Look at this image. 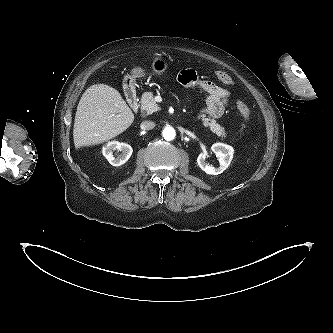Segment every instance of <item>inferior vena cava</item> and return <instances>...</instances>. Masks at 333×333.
I'll return each instance as SVG.
<instances>
[{
    "label": "inferior vena cava",
    "mask_w": 333,
    "mask_h": 333,
    "mask_svg": "<svg viewBox=\"0 0 333 333\" xmlns=\"http://www.w3.org/2000/svg\"><path fill=\"white\" fill-rule=\"evenodd\" d=\"M155 127V123L152 122V121H143L141 123V128L144 129V130H151Z\"/></svg>",
    "instance_id": "inferior-vena-cava-1"
}]
</instances>
